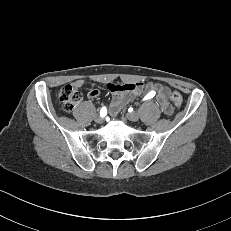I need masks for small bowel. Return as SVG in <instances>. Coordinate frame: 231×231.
<instances>
[{
  "label": "small bowel",
  "mask_w": 231,
  "mask_h": 231,
  "mask_svg": "<svg viewBox=\"0 0 231 231\" xmlns=\"http://www.w3.org/2000/svg\"><path fill=\"white\" fill-rule=\"evenodd\" d=\"M85 81L83 79H77L73 82V85L77 88H80L84 85ZM143 88L142 83H124L119 84H108L109 91L113 94V101L110 106L111 115H116L121 110L122 106L131 100V98L138 94ZM148 92L156 91L157 103L161 107L162 111L166 115H172L173 108L168 101V88L162 86L158 83H151L147 86ZM100 95L99 90L92 89L89 91V98H97Z\"/></svg>",
  "instance_id": "c3829d8e"
}]
</instances>
